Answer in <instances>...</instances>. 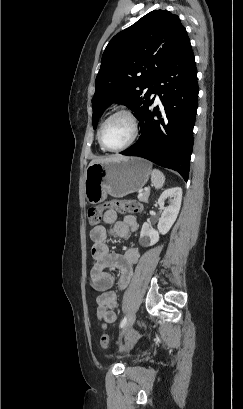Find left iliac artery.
<instances>
[{
    "label": "left iliac artery",
    "instance_id": "obj_1",
    "mask_svg": "<svg viewBox=\"0 0 243 409\" xmlns=\"http://www.w3.org/2000/svg\"><path fill=\"white\" fill-rule=\"evenodd\" d=\"M126 323H127V317L125 316V317L122 319L121 323H120V328H123V327L126 325Z\"/></svg>",
    "mask_w": 243,
    "mask_h": 409
}]
</instances>
